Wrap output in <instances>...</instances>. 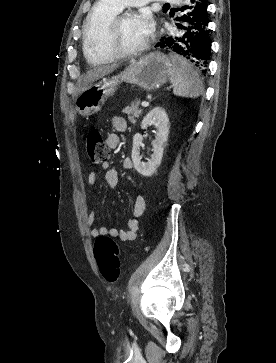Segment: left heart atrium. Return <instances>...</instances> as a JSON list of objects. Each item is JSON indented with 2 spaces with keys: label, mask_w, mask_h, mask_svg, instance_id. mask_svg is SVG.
I'll return each instance as SVG.
<instances>
[{
  "label": "left heart atrium",
  "mask_w": 276,
  "mask_h": 363,
  "mask_svg": "<svg viewBox=\"0 0 276 363\" xmlns=\"http://www.w3.org/2000/svg\"><path fill=\"white\" fill-rule=\"evenodd\" d=\"M141 30L150 36L154 30V21L148 12H143L137 16Z\"/></svg>",
  "instance_id": "39dd6f15"
}]
</instances>
